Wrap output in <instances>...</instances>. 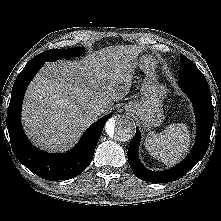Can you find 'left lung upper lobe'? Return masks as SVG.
Segmentation results:
<instances>
[{
    "label": "left lung upper lobe",
    "instance_id": "obj_1",
    "mask_svg": "<svg viewBox=\"0 0 221 221\" xmlns=\"http://www.w3.org/2000/svg\"><path fill=\"white\" fill-rule=\"evenodd\" d=\"M181 68L179 79H204V75L199 69L184 55H181Z\"/></svg>",
    "mask_w": 221,
    "mask_h": 221
}]
</instances>
